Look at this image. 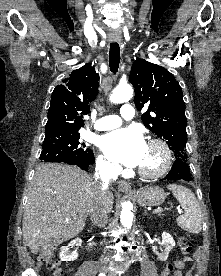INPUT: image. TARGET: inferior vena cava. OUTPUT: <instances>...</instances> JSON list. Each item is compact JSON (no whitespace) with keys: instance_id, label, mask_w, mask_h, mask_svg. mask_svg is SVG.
Returning a JSON list of instances; mask_svg holds the SVG:
<instances>
[{"instance_id":"obj_1","label":"inferior vena cava","mask_w":221,"mask_h":276,"mask_svg":"<svg viewBox=\"0 0 221 276\" xmlns=\"http://www.w3.org/2000/svg\"><path fill=\"white\" fill-rule=\"evenodd\" d=\"M119 169L110 163H100L96 167V182L99 184L94 201L89 209V216L93 225L100 228L107 224L108 206L105 201V192L108 188L109 181L117 177Z\"/></svg>"}]
</instances>
